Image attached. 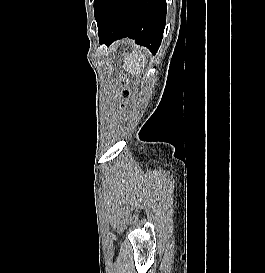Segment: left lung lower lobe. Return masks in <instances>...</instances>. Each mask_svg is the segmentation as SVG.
<instances>
[{"mask_svg": "<svg viewBox=\"0 0 265 273\" xmlns=\"http://www.w3.org/2000/svg\"><path fill=\"white\" fill-rule=\"evenodd\" d=\"M94 7L106 14L98 27L100 44L109 46L129 37L153 54L157 52L165 27L166 0H94Z\"/></svg>", "mask_w": 265, "mask_h": 273, "instance_id": "left-lung-lower-lobe-1", "label": "left lung lower lobe"}]
</instances>
